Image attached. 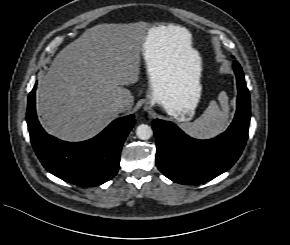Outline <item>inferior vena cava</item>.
<instances>
[{"label": "inferior vena cava", "instance_id": "inferior-vena-cava-1", "mask_svg": "<svg viewBox=\"0 0 290 245\" xmlns=\"http://www.w3.org/2000/svg\"><path fill=\"white\" fill-rule=\"evenodd\" d=\"M113 108L118 111V112H122L125 109V104L123 101L121 100H117L114 104H113Z\"/></svg>", "mask_w": 290, "mask_h": 245}]
</instances>
